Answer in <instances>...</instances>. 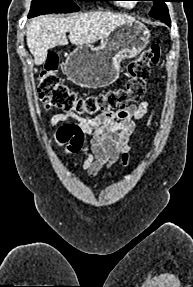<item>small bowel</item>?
<instances>
[{"mask_svg": "<svg viewBox=\"0 0 193 287\" xmlns=\"http://www.w3.org/2000/svg\"><path fill=\"white\" fill-rule=\"evenodd\" d=\"M148 106V102L143 101L112 111L99 120H88V123L73 112H62L50 119L48 128L55 127L54 141L61 145L62 151L71 152V156H84L81 168L96 176L118 161L123 166L128 164L129 138Z\"/></svg>", "mask_w": 193, "mask_h": 287, "instance_id": "1", "label": "small bowel"}]
</instances>
